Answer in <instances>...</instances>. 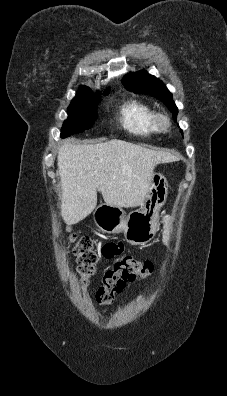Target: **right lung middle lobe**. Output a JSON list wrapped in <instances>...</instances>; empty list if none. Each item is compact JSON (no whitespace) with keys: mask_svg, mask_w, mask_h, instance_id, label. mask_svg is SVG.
<instances>
[{"mask_svg":"<svg viewBox=\"0 0 227 396\" xmlns=\"http://www.w3.org/2000/svg\"><path fill=\"white\" fill-rule=\"evenodd\" d=\"M98 96L89 88H80L68 107V118L64 121L61 137L83 132L90 128L96 118Z\"/></svg>","mask_w":227,"mask_h":396,"instance_id":"dd1d6c3e","label":"right lung middle lobe"}]
</instances>
